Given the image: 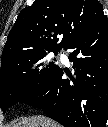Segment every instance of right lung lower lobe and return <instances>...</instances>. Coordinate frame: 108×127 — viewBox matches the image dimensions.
<instances>
[{
  "instance_id": "obj_1",
  "label": "right lung lower lobe",
  "mask_w": 108,
  "mask_h": 127,
  "mask_svg": "<svg viewBox=\"0 0 108 127\" xmlns=\"http://www.w3.org/2000/svg\"><path fill=\"white\" fill-rule=\"evenodd\" d=\"M71 49L75 78L58 68L21 102L43 108L64 127H104L108 119V21L106 17L77 37Z\"/></svg>"
}]
</instances>
